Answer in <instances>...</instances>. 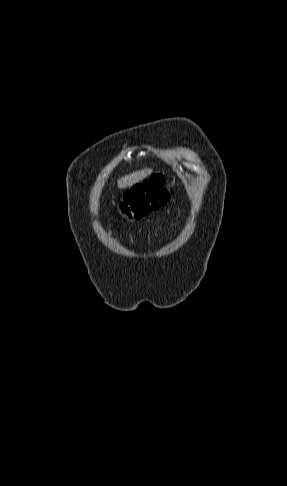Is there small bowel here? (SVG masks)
<instances>
[{
  "instance_id": "obj_1",
  "label": "small bowel",
  "mask_w": 287,
  "mask_h": 486,
  "mask_svg": "<svg viewBox=\"0 0 287 486\" xmlns=\"http://www.w3.org/2000/svg\"><path fill=\"white\" fill-rule=\"evenodd\" d=\"M159 222H160V218H157V219L155 220V224H159Z\"/></svg>"
}]
</instances>
